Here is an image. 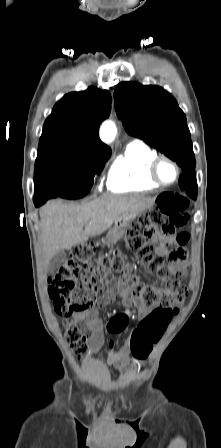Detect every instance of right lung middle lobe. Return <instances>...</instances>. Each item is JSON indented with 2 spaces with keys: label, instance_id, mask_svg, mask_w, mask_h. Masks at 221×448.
<instances>
[{
  "label": "right lung middle lobe",
  "instance_id": "right-lung-middle-lobe-1",
  "mask_svg": "<svg viewBox=\"0 0 221 448\" xmlns=\"http://www.w3.org/2000/svg\"><path fill=\"white\" fill-rule=\"evenodd\" d=\"M111 153L91 154L71 147L38 149L35 195L77 199L89 193Z\"/></svg>",
  "mask_w": 221,
  "mask_h": 448
}]
</instances>
